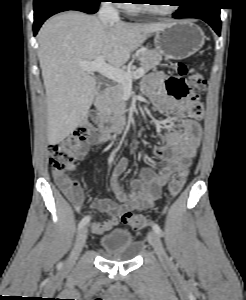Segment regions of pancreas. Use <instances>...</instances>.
I'll use <instances>...</instances> for the list:
<instances>
[{
  "label": "pancreas",
  "mask_w": 246,
  "mask_h": 300,
  "mask_svg": "<svg viewBox=\"0 0 246 300\" xmlns=\"http://www.w3.org/2000/svg\"><path fill=\"white\" fill-rule=\"evenodd\" d=\"M141 62V68L144 74L155 68L162 60L158 51L147 50L137 56ZM125 85L117 83L109 87L99 98L98 108L102 115L120 116L125 113L126 99L124 96Z\"/></svg>",
  "instance_id": "pancreas-1"
}]
</instances>
